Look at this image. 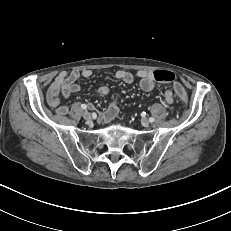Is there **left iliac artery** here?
I'll return each instance as SVG.
<instances>
[{
	"label": "left iliac artery",
	"mask_w": 231,
	"mask_h": 231,
	"mask_svg": "<svg viewBox=\"0 0 231 231\" xmlns=\"http://www.w3.org/2000/svg\"><path fill=\"white\" fill-rule=\"evenodd\" d=\"M149 121L152 123V122H154V118L153 117H150L149 118Z\"/></svg>",
	"instance_id": "obj_1"
}]
</instances>
